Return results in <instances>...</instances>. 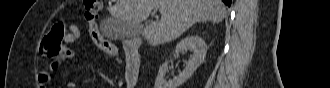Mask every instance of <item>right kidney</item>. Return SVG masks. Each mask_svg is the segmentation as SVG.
Listing matches in <instances>:
<instances>
[{"mask_svg": "<svg viewBox=\"0 0 330 88\" xmlns=\"http://www.w3.org/2000/svg\"><path fill=\"white\" fill-rule=\"evenodd\" d=\"M187 51L192 52V55H190L184 70L179 73L177 77L166 81L165 75L168 72V62H165L159 68L154 88H178L183 84L204 62L207 53V45L199 36H187L176 45L173 54L176 56L179 53H185Z\"/></svg>", "mask_w": 330, "mask_h": 88, "instance_id": "right-kidney-1", "label": "right kidney"}]
</instances>
